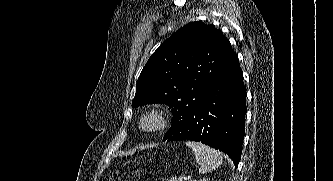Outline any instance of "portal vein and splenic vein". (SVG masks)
<instances>
[{
    "label": "portal vein and splenic vein",
    "mask_w": 333,
    "mask_h": 181,
    "mask_svg": "<svg viewBox=\"0 0 333 181\" xmlns=\"http://www.w3.org/2000/svg\"><path fill=\"white\" fill-rule=\"evenodd\" d=\"M183 180H185V177H184V176H180V177L178 178V181H183Z\"/></svg>",
    "instance_id": "obj_1"
}]
</instances>
